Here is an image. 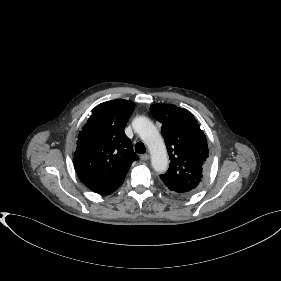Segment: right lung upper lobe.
<instances>
[{
  "label": "right lung upper lobe",
  "instance_id": "1",
  "mask_svg": "<svg viewBox=\"0 0 281 281\" xmlns=\"http://www.w3.org/2000/svg\"><path fill=\"white\" fill-rule=\"evenodd\" d=\"M134 108L133 102L123 99L101 103L79 133L74 167L79 179L96 193L115 191L138 159L124 133Z\"/></svg>",
  "mask_w": 281,
  "mask_h": 281
}]
</instances>
